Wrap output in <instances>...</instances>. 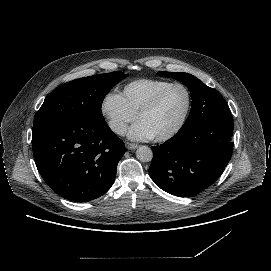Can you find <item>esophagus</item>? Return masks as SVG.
<instances>
[{"instance_id": "34e87169", "label": "esophagus", "mask_w": 271, "mask_h": 271, "mask_svg": "<svg viewBox=\"0 0 271 271\" xmlns=\"http://www.w3.org/2000/svg\"><path fill=\"white\" fill-rule=\"evenodd\" d=\"M137 147H138L137 144L130 143V142H127V143H126V148H127L128 150H135Z\"/></svg>"}]
</instances>
